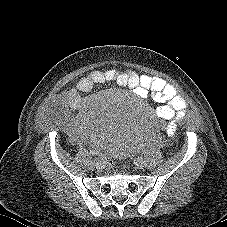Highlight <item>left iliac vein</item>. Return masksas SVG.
Returning <instances> with one entry per match:
<instances>
[{
    "label": "left iliac vein",
    "mask_w": 227,
    "mask_h": 227,
    "mask_svg": "<svg viewBox=\"0 0 227 227\" xmlns=\"http://www.w3.org/2000/svg\"><path fill=\"white\" fill-rule=\"evenodd\" d=\"M136 166L139 168V169H142L146 166V162L145 160L142 158V157H139L136 159Z\"/></svg>",
    "instance_id": "left-iliac-vein-1"
}]
</instances>
